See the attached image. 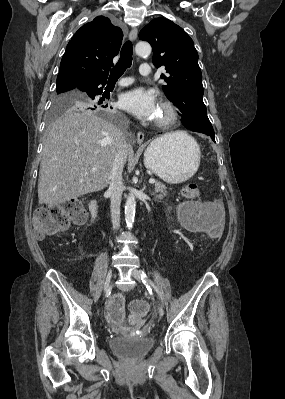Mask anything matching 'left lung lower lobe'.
<instances>
[{
    "label": "left lung lower lobe",
    "mask_w": 285,
    "mask_h": 399,
    "mask_svg": "<svg viewBox=\"0 0 285 399\" xmlns=\"http://www.w3.org/2000/svg\"><path fill=\"white\" fill-rule=\"evenodd\" d=\"M211 139L215 142V137L214 135H210Z\"/></svg>",
    "instance_id": "0a47b994"
}]
</instances>
